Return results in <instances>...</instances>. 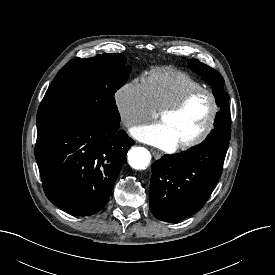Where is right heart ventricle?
Returning a JSON list of instances; mask_svg holds the SVG:
<instances>
[{"instance_id": "1", "label": "right heart ventricle", "mask_w": 275, "mask_h": 275, "mask_svg": "<svg viewBox=\"0 0 275 275\" xmlns=\"http://www.w3.org/2000/svg\"><path fill=\"white\" fill-rule=\"evenodd\" d=\"M143 83L156 111L174 103L186 92L203 87L202 83L190 74L172 68L151 70Z\"/></svg>"}]
</instances>
